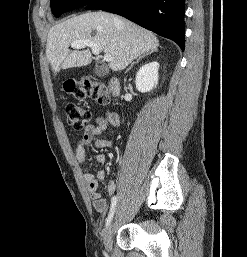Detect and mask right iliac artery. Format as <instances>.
Masks as SVG:
<instances>
[{"instance_id": "right-iliac-artery-1", "label": "right iliac artery", "mask_w": 247, "mask_h": 257, "mask_svg": "<svg viewBox=\"0 0 247 257\" xmlns=\"http://www.w3.org/2000/svg\"><path fill=\"white\" fill-rule=\"evenodd\" d=\"M116 204H117V196H113L112 200H111L110 211H109L108 217L106 219V224H105L106 227L110 224V222L113 218V215H114L115 209H116Z\"/></svg>"}]
</instances>
